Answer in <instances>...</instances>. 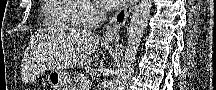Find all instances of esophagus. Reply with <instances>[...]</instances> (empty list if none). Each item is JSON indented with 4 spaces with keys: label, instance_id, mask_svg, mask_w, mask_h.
<instances>
[{
    "label": "esophagus",
    "instance_id": "1",
    "mask_svg": "<svg viewBox=\"0 0 216 90\" xmlns=\"http://www.w3.org/2000/svg\"><path fill=\"white\" fill-rule=\"evenodd\" d=\"M136 5V0H128L119 8L109 20L104 33V41L119 42L120 31L128 22L129 16Z\"/></svg>",
    "mask_w": 216,
    "mask_h": 90
}]
</instances>
